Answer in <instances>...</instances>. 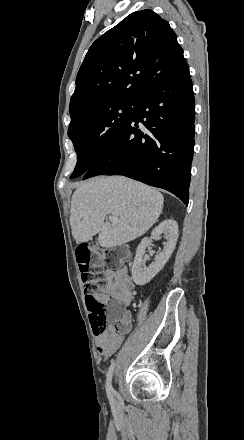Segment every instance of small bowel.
<instances>
[{"mask_svg": "<svg viewBox=\"0 0 244 440\" xmlns=\"http://www.w3.org/2000/svg\"><path fill=\"white\" fill-rule=\"evenodd\" d=\"M102 274L104 283L97 292L91 296L87 295L86 300L93 297L96 300H118L123 307L131 305L134 301L135 285L128 268L123 266L116 270L106 269ZM123 342L124 338H114L113 335H109L108 329L104 334L96 336L95 343L99 358L104 361L109 359L121 347Z\"/></svg>", "mask_w": 244, "mask_h": 440, "instance_id": "c3829d8e", "label": "small bowel"}]
</instances>
